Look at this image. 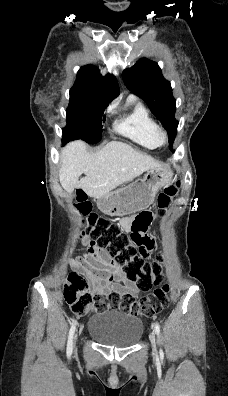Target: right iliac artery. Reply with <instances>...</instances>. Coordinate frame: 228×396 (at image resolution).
I'll return each instance as SVG.
<instances>
[{
  "instance_id": "obj_1",
  "label": "right iliac artery",
  "mask_w": 228,
  "mask_h": 396,
  "mask_svg": "<svg viewBox=\"0 0 228 396\" xmlns=\"http://www.w3.org/2000/svg\"><path fill=\"white\" fill-rule=\"evenodd\" d=\"M75 329H76V323H73L70 331H69V337H68V342H67V356L70 357L72 354V350H73V336L75 333Z\"/></svg>"
}]
</instances>
